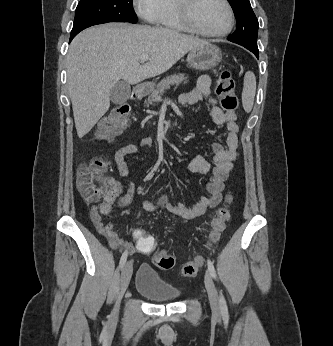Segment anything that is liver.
Here are the masks:
<instances>
[{
	"label": "liver",
	"instance_id": "liver-1",
	"mask_svg": "<svg viewBox=\"0 0 333 346\" xmlns=\"http://www.w3.org/2000/svg\"><path fill=\"white\" fill-rule=\"evenodd\" d=\"M207 41L172 29L125 23L88 28L71 42L66 56L67 87L75 127L84 137L108 111L110 90L120 79L131 85L169 70ZM147 55V63L140 65Z\"/></svg>",
	"mask_w": 333,
	"mask_h": 346
}]
</instances>
